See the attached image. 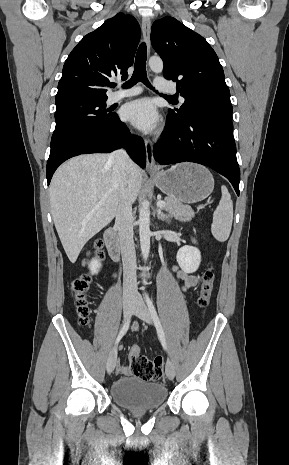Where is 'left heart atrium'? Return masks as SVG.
<instances>
[{
    "instance_id": "left-heart-atrium-1",
    "label": "left heart atrium",
    "mask_w": 289,
    "mask_h": 465,
    "mask_svg": "<svg viewBox=\"0 0 289 465\" xmlns=\"http://www.w3.org/2000/svg\"><path fill=\"white\" fill-rule=\"evenodd\" d=\"M123 117L145 132L153 131L158 124L156 105L149 98L129 102L123 110Z\"/></svg>"
}]
</instances>
